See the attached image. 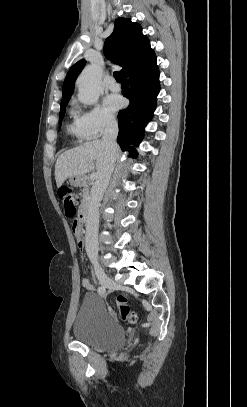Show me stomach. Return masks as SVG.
<instances>
[{
  "label": "stomach",
  "instance_id": "1",
  "mask_svg": "<svg viewBox=\"0 0 247 407\" xmlns=\"http://www.w3.org/2000/svg\"><path fill=\"white\" fill-rule=\"evenodd\" d=\"M70 184L76 187L83 186L85 180L82 176H72L69 178Z\"/></svg>",
  "mask_w": 247,
  "mask_h": 407
}]
</instances>
